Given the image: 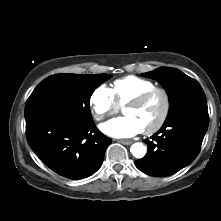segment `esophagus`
Here are the masks:
<instances>
[{
    "instance_id": "obj_1",
    "label": "esophagus",
    "mask_w": 221,
    "mask_h": 221,
    "mask_svg": "<svg viewBox=\"0 0 221 221\" xmlns=\"http://www.w3.org/2000/svg\"><path fill=\"white\" fill-rule=\"evenodd\" d=\"M119 143H122L123 145H130L132 144V141L131 140H118Z\"/></svg>"
}]
</instances>
